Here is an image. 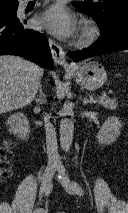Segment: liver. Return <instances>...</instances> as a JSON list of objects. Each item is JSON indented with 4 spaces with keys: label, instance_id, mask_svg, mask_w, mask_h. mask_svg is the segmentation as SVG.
Instances as JSON below:
<instances>
[{
    "label": "liver",
    "instance_id": "liver-1",
    "mask_svg": "<svg viewBox=\"0 0 128 213\" xmlns=\"http://www.w3.org/2000/svg\"><path fill=\"white\" fill-rule=\"evenodd\" d=\"M43 70L20 57L0 56V114L31 103Z\"/></svg>",
    "mask_w": 128,
    "mask_h": 213
}]
</instances>
